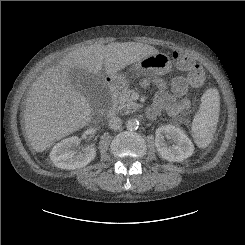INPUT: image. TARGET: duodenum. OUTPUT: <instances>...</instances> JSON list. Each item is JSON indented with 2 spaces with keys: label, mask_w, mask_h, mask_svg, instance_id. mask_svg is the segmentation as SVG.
<instances>
[{
  "label": "duodenum",
  "mask_w": 245,
  "mask_h": 245,
  "mask_svg": "<svg viewBox=\"0 0 245 245\" xmlns=\"http://www.w3.org/2000/svg\"><path fill=\"white\" fill-rule=\"evenodd\" d=\"M107 86H108V92L110 96V102L105 111V116L108 118H112L116 114V108H115L116 95L122 88L123 83L118 77L112 76L107 79Z\"/></svg>",
  "instance_id": "obj_1"
}]
</instances>
